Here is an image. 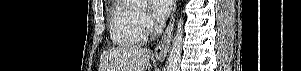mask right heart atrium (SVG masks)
<instances>
[{
  "mask_svg": "<svg viewBox=\"0 0 301 71\" xmlns=\"http://www.w3.org/2000/svg\"><path fill=\"white\" fill-rule=\"evenodd\" d=\"M141 20L147 31L152 32L155 29L156 23L148 13H143Z\"/></svg>",
  "mask_w": 301,
  "mask_h": 71,
  "instance_id": "d8ad5b80",
  "label": "right heart atrium"
}]
</instances>
